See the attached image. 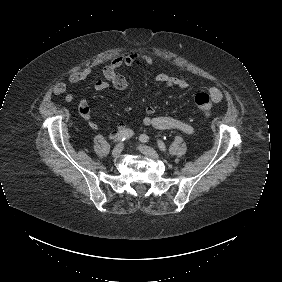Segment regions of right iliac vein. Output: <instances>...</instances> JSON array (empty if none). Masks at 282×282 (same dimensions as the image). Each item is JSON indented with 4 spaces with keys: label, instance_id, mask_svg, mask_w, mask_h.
Here are the masks:
<instances>
[{
    "label": "right iliac vein",
    "instance_id": "1",
    "mask_svg": "<svg viewBox=\"0 0 282 282\" xmlns=\"http://www.w3.org/2000/svg\"><path fill=\"white\" fill-rule=\"evenodd\" d=\"M122 150H123V144H118V145L113 149V151H112V156H113L114 158L119 157V155L121 154Z\"/></svg>",
    "mask_w": 282,
    "mask_h": 282
}]
</instances>
